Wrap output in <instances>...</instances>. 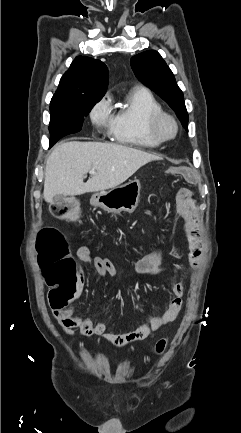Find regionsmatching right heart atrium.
<instances>
[{
  "mask_svg": "<svg viewBox=\"0 0 241 433\" xmlns=\"http://www.w3.org/2000/svg\"><path fill=\"white\" fill-rule=\"evenodd\" d=\"M92 123L98 128H107L111 126L112 115L111 106L108 98L98 102L90 112Z\"/></svg>",
  "mask_w": 241,
  "mask_h": 433,
  "instance_id": "obj_1",
  "label": "right heart atrium"
}]
</instances>
